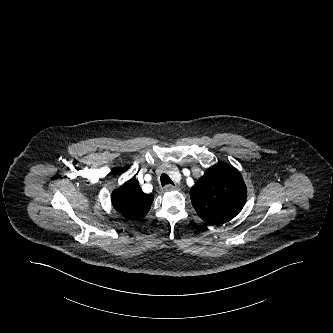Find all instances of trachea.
Segmentation results:
<instances>
[{
    "label": "trachea",
    "mask_w": 333,
    "mask_h": 333,
    "mask_svg": "<svg viewBox=\"0 0 333 333\" xmlns=\"http://www.w3.org/2000/svg\"><path fill=\"white\" fill-rule=\"evenodd\" d=\"M160 180H161V184H162V186H165V185H167V184H172V185H174V183H173V181L171 180V178H170L167 174H165V173H163V174L161 175Z\"/></svg>",
    "instance_id": "obj_1"
}]
</instances>
